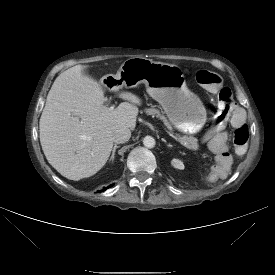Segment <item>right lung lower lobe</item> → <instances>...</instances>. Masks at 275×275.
<instances>
[{"label":"right lung lower lobe","instance_id":"1","mask_svg":"<svg viewBox=\"0 0 275 275\" xmlns=\"http://www.w3.org/2000/svg\"><path fill=\"white\" fill-rule=\"evenodd\" d=\"M111 186H113V185H110V186H108L107 188H104L102 191H105L106 189H108V188L111 187Z\"/></svg>","mask_w":275,"mask_h":275}]
</instances>
